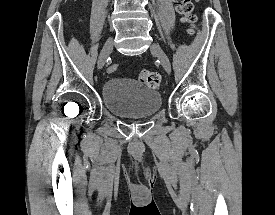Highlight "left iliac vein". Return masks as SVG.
Here are the masks:
<instances>
[{
  "label": "left iliac vein",
  "mask_w": 275,
  "mask_h": 215,
  "mask_svg": "<svg viewBox=\"0 0 275 215\" xmlns=\"http://www.w3.org/2000/svg\"><path fill=\"white\" fill-rule=\"evenodd\" d=\"M150 50H151V53L154 54L159 59L165 71L167 73H170L171 64L166 53L162 50V48L157 43H153L150 47Z\"/></svg>",
  "instance_id": "4c4485c4"
}]
</instances>
